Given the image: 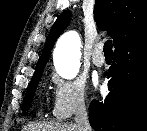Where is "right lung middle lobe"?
Wrapping results in <instances>:
<instances>
[{
    "label": "right lung middle lobe",
    "mask_w": 147,
    "mask_h": 131,
    "mask_svg": "<svg viewBox=\"0 0 147 131\" xmlns=\"http://www.w3.org/2000/svg\"><path fill=\"white\" fill-rule=\"evenodd\" d=\"M41 74H42V71L34 74L31 82L28 85L27 92H26V95H25V98H24L23 104H22L23 111H26L30 108V105H31V102H32V99L34 96V92H35L37 84L40 80Z\"/></svg>",
    "instance_id": "1"
}]
</instances>
